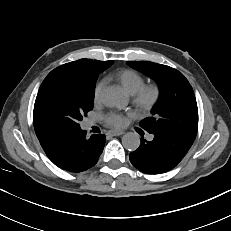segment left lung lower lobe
<instances>
[{"label": "left lung lower lobe", "mask_w": 231, "mask_h": 231, "mask_svg": "<svg viewBox=\"0 0 231 231\" xmlns=\"http://www.w3.org/2000/svg\"><path fill=\"white\" fill-rule=\"evenodd\" d=\"M151 134L153 139H142L139 148L129 156L132 165L146 174L170 171L183 159L194 142L190 138L167 133Z\"/></svg>", "instance_id": "1"}]
</instances>
